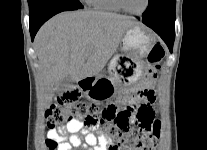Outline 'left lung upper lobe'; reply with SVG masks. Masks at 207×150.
I'll list each match as a JSON object with an SVG mask.
<instances>
[{
  "label": "left lung upper lobe",
  "mask_w": 207,
  "mask_h": 150,
  "mask_svg": "<svg viewBox=\"0 0 207 150\" xmlns=\"http://www.w3.org/2000/svg\"><path fill=\"white\" fill-rule=\"evenodd\" d=\"M176 0H149L146 11L142 17H154L168 9L175 7Z\"/></svg>",
  "instance_id": "5c2ea615"
}]
</instances>
